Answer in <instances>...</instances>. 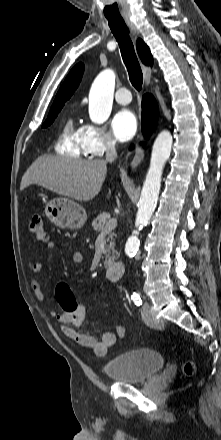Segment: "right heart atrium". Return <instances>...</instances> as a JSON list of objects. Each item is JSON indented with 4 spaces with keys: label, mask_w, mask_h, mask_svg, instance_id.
Wrapping results in <instances>:
<instances>
[{
    "label": "right heart atrium",
    "mask_w": 221,
    "mask_h": 440,
    "mask_svg": "<svg viewBox=\"0 0 221 440\" xmlns=\"http://www.w3.org/2000/svg\"><path fill=\"white\" fill-rule=\"evenodd\" d=\"M87 151L92 156H103L116 149L113 136L102 126L87 124L83 127Z\"/></svg>",
    "instance_id": "right-heart-atrium-1"
}]
</instances>
